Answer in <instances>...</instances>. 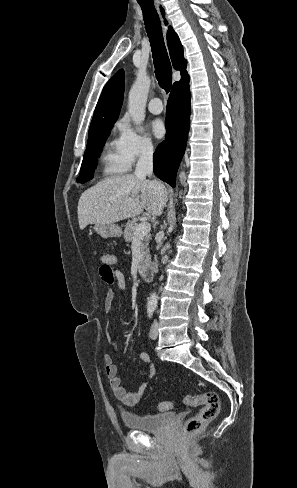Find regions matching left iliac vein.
<instances>
[{"label": "left iliac vein", "instance_id": "left-iliac-vein-1", "mask_svg": "<svg viewBox=\"0 0 297 488\" xmlns=\"http://www.w3.org/2000/svg\"><path fill=\"white\" fill-rule=\"evenodd\" d=\"M149 336L151 339H156L158 337V323H157V321L153 322L151 329H150Z\"/></svg>", "mask_w": 297, "mask_h": 488}]
</instances>
